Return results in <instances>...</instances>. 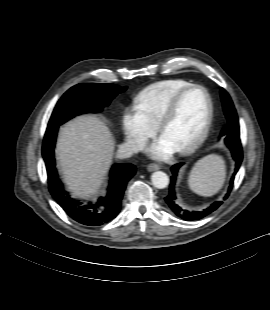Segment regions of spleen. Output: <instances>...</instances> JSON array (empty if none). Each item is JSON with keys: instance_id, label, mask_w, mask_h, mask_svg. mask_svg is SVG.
<instances>
[{"instance_id": "1", "label": "spleen", "mask_w": 270, "mask_h": 310, "mask_svg": "<svg viewBox=\"0 0 270 310\" xmlns=\"http://www.w3.org/2000/svg\"><path fill=\"white\" fill-rule=\"evenodd\" d=\"M226 165L219 155H209L198 161L190 172L188 184L198 195L211 197L223 187Z\"/></svg>"}]
</instances>
